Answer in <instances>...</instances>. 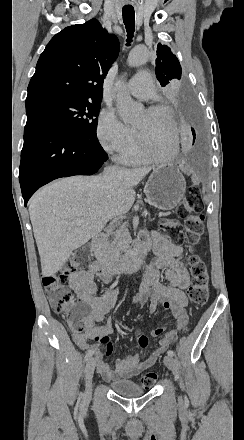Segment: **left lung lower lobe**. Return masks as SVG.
I'll return each instance as SVG.
<instances>
[{
	"label": "left lung lower lobe",
	"instance_id": "0a47b994",
	"mask_svg": "<svg viewBox=\"0 0 244 440\" xmlns=\"http://www.w3.org/2000/svg\"><path fill=\"white\" fill-rule=\"evenodd\" d=\"M181 107L182 110L184 111V113L191 119L194 120L195 119V114H194V110H193V106H192V102L189 98H185L181 101ZM192 130V134L194 136L193 138V143L195 141V130L193 128H191Z\"/></svg>",
	"mask_w": 244,
	"mask_h": 440
}]
</instances>
